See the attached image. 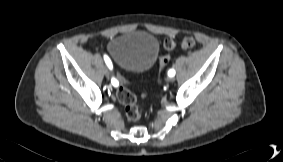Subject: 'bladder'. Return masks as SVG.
<instances>
[{
	"mask_svg": "<svg viewBox=\"0 0 283 162\" xmlns=\"http://www.w3.org/2000/svg\"><path fill=\"white\" fill-rule=\"evenodd\" d=\"M157 38L144 31H131L113 38L108 51L123 69L144 72L150 69L159 55Z\"/></svg>",
	"mask_w": 283,
	"mask_h": 162,
	"instance_id": "1",
	"label": "bladder"
}]
</instances>
